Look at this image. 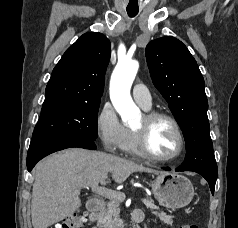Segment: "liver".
Listing matches in <instances>:
<instances>
[{"label": "liver", "instance_id": "6515ba94", "mask_svg": "<svg viewBox=\"0 0 238 228\" xmlns=\"http://www.w3.org/2000/svg\"><path fill=\"white\" fill-rule=\"evenodd\" d=\"M134 172L157 173L155 169L100 151L71 148L55 153L35 167L31 217L33 228H48L81 206L84 187L123 183Z\"/></svg>", "mask_w": 238, "mask_h": 228}]
</instances>
